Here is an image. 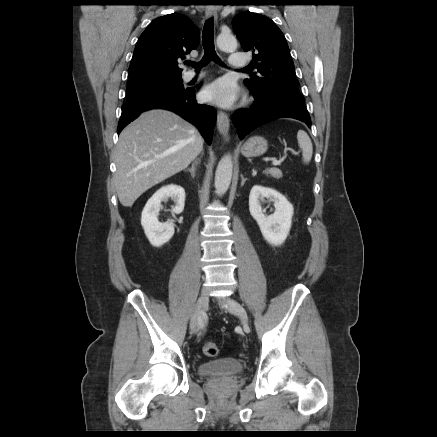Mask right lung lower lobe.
<instances>
[{
  "mask_svg": "<svg viewBox=\"0 0 437 437\" xmlns=\"http://www.w3.org/2000/svg\"><path fill=\"white\" fill-rule=\"evenodd\" d=\"M152 108H163L179 114L184 119L195 124L206 142L209 145L211 144L216 121V111L209 105L197 103L193 88L153 93L127 100L122 106V114L118 123V134L141 112Z\"/></svg>",
  "mask_w": 437,
  "mask_h": 437,
  "instance_id": "98d812e1",
  "label": "right lung lower lobe"
}]
</instances>
